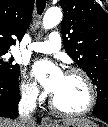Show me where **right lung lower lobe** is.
<instances>
[{
    "label": "right lung lower lobe",
    "mask_w": 108,
    "mask_h": 127,
    "mask_svg": "<svg viewBox=\"0 0 108 127\" xmlns=\"http://www.w3.org/2000/svg\"><path fill=\"white\" fill-rule=\"evenodd\" d=\"M18 77L7 79L0 76V116L2 117H17V108L20 99Z\"/></svg>",
    "instance_id": "98d812e1"
}]
</instances>
